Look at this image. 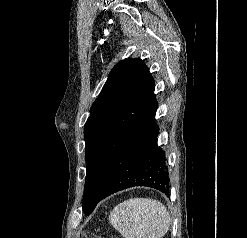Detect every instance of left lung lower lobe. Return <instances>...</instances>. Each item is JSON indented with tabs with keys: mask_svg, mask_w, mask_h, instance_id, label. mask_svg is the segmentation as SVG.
I'll return each mask as SVG.
<instances>
[{
	"mask_svg": "<svg viewBox=\"0 0 247 238\" xmlns=\"http://www.w3.org/2000/svg\"><path fill=\"white\" fill-rule=\"evenodd\" d=\"M158 103L136 128L108 166L99 185L97 202L134 186L155 188L169 196V175L165 152L157 146L159 128L155 123Z\"/></svg>",
	"mask_w": 247,
	"mask_h": 238,
	"instance_id": "1",
	"label": "left lung lower lobe"
}]
</instances>
